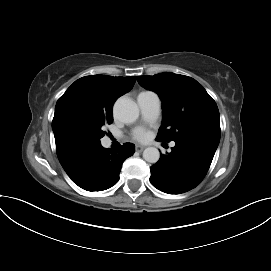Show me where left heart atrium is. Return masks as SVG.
I'll list each match as a JSON object with an SVG mask.
<instances>
[{"instance_id":"1","label":"left heart atrium","mask_w":271,"mask_h":271,"mask_svg":"<svg viewBox=\"0 0 271 271\" xmlns=\"http://www.w3.org/2000/svg\"><path fill=\"white\" fill-rule=\"evenodd\" d=\"M149 137V131L144 128H138L133 132V138L141 142L147 141Z\"/></svg>"}]
</instances>
